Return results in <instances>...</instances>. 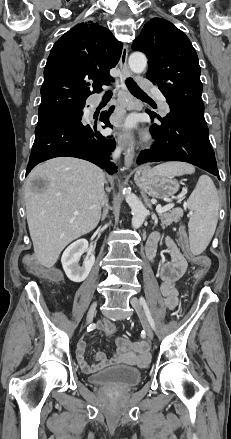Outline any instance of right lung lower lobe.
Segmentation results:
<instances>
[{
	"label": "right lung lower lobe",
	"mask_w": 231,
	"mask_h": 439,
	"mask_svg": "<svg viewBox=\"0 0 231 439\" xmlns=\"http://www.w3.org/2000/svg\"><path fill=\"white\" fill-rule=\"evenodd\" d=\"M113 110L114 107H111L100 116V121L106 126L111 127L109 116ZM82 115L81 109L77 115L70 118L37 125L26 174L40 162L63 156L88 160L105 169L109 174L117 171L110 161V153L115 147L113 136L101 135L97 131V123H82Z\"/></svg>",
	"instance_id": "1"
}]
</instances>
